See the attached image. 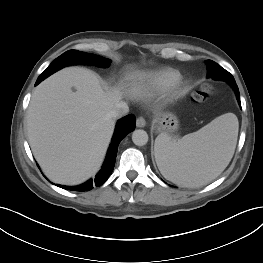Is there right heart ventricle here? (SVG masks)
Listing matches in <instances>:
<instances>
[{
  "label": "right heart ventricle",
  "mask_w": 263,
  "mask_h": 263,
  "mask_svg": "<svg viewBox=\"0 0 263 263\" xmlns=\"http://www.w3.org/2000/svg\"><path fill=\"white\" fill-rule=\"evenodd\" d=\"M180 79L179 70L165 67L136 76L132 82V91L136 95L160 92L173 87Z\"/></svg>",
  "instance_id": "1"
}]
</instances>
